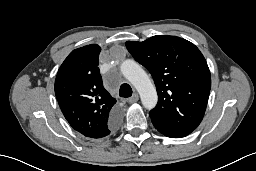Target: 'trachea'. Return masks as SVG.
<instances>
[{
    "instance_id": "1",
    "label": "trachea",
    "mask_w": 256,
    "mask_h": 171,
    "mask_svg": "<svg viewBox=\"0 0 256 171\" xmlns=\"http://www.w3.org/2000/svg\"><path fill=\"white\" fill-rule=\"evenodd\" d=\"M120 97L128 98L132 95V88L129 84L124 83L120 86L119 90Z\"/></svg>"
}]
</instances>
